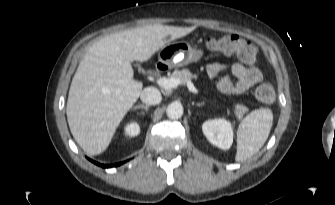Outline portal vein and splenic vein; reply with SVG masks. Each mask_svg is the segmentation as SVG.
<instances>
[{
  "instance_id": "portal-vein-and-splenic-vein-1",
  "label": "portal vein and splenic vein",
  "mask_w": 335,
  "mask_h": 205,
  "mask_svg": "<svg viewBox=\"0 0 335 205\" xmlns=\"http://www.w3.org/2000/svg\"><path fill=\"white\" fill-rule=\"evenodd\" d=\"M156 82L159 86L165 88V89H173L175 87H177L178 85L181 84V81L177 78L174 77H160L156 79ZM187 87L189 89V91L193 92V93H198V90L196 89V87L193 85V83L191 81L187 82Z\"/></svg>"
}]
</instances>
